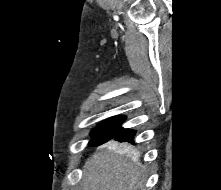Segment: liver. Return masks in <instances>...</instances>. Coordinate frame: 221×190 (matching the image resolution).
Here are the masks:
<instances>
[{"label": "liver", "instance_id": "liver-1", "mask_svg": "<svg viewBox=\"0 0 221 190\" xmlns=\"http://www.w3.org/2000/svg\"><path fill=\"white\" fill-rule=\"evenodd\" d=\"M125 153L126 149L113 143L94 153L84 165L83 190H144L138 157L128 160Z\"/></svg>", "mask_w": 221, "mask_h": 190}]
</instances>
